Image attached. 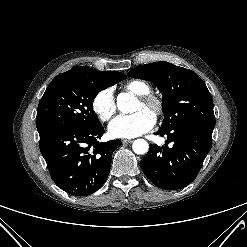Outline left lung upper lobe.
<instances>
[{
    "label": "left lung upper lobe",
    "mask_w": 247,
    "mask_h": 247,
    "mask_svg": "<svg viewBox=\"0 0 247 247\" xmlns=\"http://www.w3.org/2000/svg\"><path fill=\"white\" fill-rule=\"evenodd\" d=\"M129 77L152 81L162 93L165 114L160 129L196 124L214 129L213 100L202 79L193 71L169 62H154L128 72Z\"/></svg>",
    "instance_id": "obj_1"
}]
</instances>
